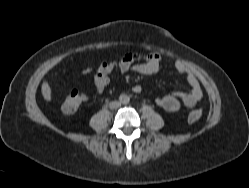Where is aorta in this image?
Returning <instances> with one entry per match:
<instances>
[{
	"label": "aorta",
	"instance_id": "obj_1",
	"mask_svg": "<svg viewBox=\"0 0 249 188\" xmlns=\"http://www.w3.org/2000/svg\"><path fill=\"white\" fill-rule=\"evenodd\" d=\"M119 100H120V103H122V104H128L130 101V97L126 94H121L119 96Z\"/></svg>",
	"mask_w": 249,
	"mask_h": 188
}]
</instances>
